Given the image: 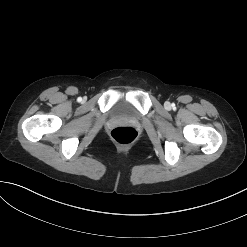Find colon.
Here are the masks:
<instances>
[{"mask_svg":"<svg viewBox=\"0 0 247 247\" xmlns=\"http://www.w3.org/2000/svg\"><path fill=\"white\" fill-rule=\"evenodd\" d=\"M138 132L133 127H116L111 131V138L119 144H130L137 139Z\"/></svg>","mask_w":247,"mask_h":247,"instance_id":"colon-1","label":"colon"}]
</instances>
